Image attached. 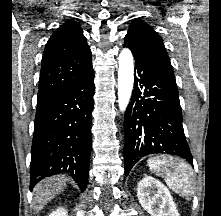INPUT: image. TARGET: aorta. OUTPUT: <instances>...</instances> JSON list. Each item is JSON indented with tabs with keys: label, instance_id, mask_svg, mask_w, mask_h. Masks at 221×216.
<instances>
[{
	"label": "aorta",
	"instance_id": "1",
	"mask_svg": "<svg viewBox=\"0 0 221 216\" xmlns=\"http://www.w3.org/2000/svg\"><path fill=\"white\" fill-rule=\"evenodd\" d=\"M118 63V105L120 111L124 113L129 104L134 84L133 55L128 48L121 51Z\"/></svg>",
	"mask_w": 221,
	"mask_h": 216
}]
</instances>
